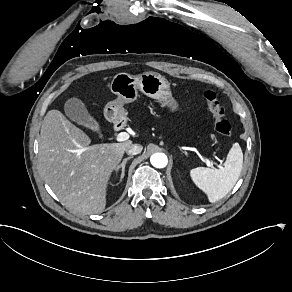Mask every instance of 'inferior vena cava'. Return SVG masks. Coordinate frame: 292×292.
I'll return each mask as SVG.
<instances>
[{
    "mask_svg": "<svg viewBox=\"0 0 292 292\" xmlns=\"http://www.w3.org/2000/svg\"><path fill=\"white\" fill-rule=\"evenodd\" d=\"M143 147L140 144H132L130 147L126 148V153L129 155H136L141 153Z\"/></svg>",
    "mask_w": 292,
    "mask_h": 292,
    "instance_id": "602c4592",
    "label": "inferior vena cava"
}]
</instances>
